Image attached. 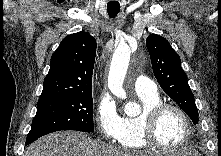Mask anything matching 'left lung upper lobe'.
<instances>
[{
    "label": "left lung upper lobe",
    "mask_w": 221,
    "mask_h": 156,
    "mask_svg": "<svg viewBox=\"0 0 221 156\" xmlns=\"http://www.w3.org/2000/svg\"><path fill=\"white\" fill-rule=\"evenodd\" d=\"M146 46L154 75L161 88L186 112L193 123L197 124L198 110L179 55L165 38L157 34L147 37Z\"/></svg>",
    "instance_id": "left-lung-upper-lobe-1"
}]
</instances>
